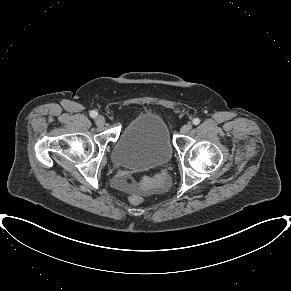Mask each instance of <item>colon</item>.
<instances>
[{
	"mask_svg": "<svg viewBox=\"0 0 291 291\" xmlns=\"http://www.w3.org/2000/svg\"><path fill=\"white\" fill-rule=\"evenodd\" d=\"M164 181V176L163 175H157L154 177H147L144 178L141 187L143 189L151 188V187H156L162 184ZM143 201V198L140 195H133L130 197V202L133 205H139Z\"/></svg>",
	"mask_w": 291,
	"mask_h": 291,
	"instance_id": "obj_1",
	"label": "colon"
}]
</instances>
